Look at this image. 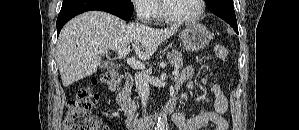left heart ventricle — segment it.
Returning <instances> with one entry per match:
<instances>
[{"label": "left heart ventricle", "mask_w": 299, "mask_h": 130, "mask_svg": "<svg viewBox=\"0 0 299 130\" xmlns=\"http://www.w3.org/2000/svg\"><path fill=\"white\" fill-rule=\"evenodd\" d=\"M197 8V0H171L168 3L170 14L176 17L191 16Z\"/></svg>", "instance_id": "left-heart-ventricle-1"}]
</instances>
